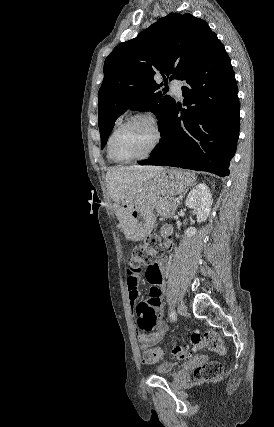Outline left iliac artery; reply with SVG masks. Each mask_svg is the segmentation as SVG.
<instances>
[{"label": "left iliac artery", "mask_w": 274, "mask_h": 427, "mask_svg": "<svg viewBox=\"0 0 274 427\" xmlns=\"http://www.w3.org/2000/svg\"><path fill=\"white\" fill-rule=\"evenodd\" d=\"M170 318L173 322L177 320V314H176V311L174 309H171Z\"/></svg>", "instance_id": "44dca946"}]
</instances>
